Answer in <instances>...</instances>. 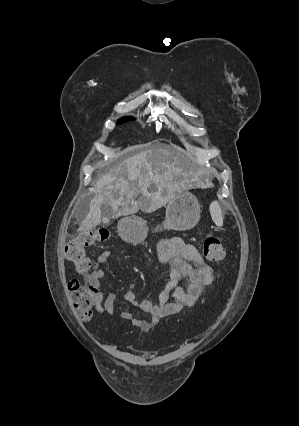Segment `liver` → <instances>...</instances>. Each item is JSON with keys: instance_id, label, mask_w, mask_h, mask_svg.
<instances>
[{"instance_id": "1", "label": "liver", "mask_w": 299, "mask_h": 426, "mask_svg": "<svg viewBox=\"0 0 299 426\" xmlns=\"http://www.w3.org/2000/svg\"><path fill=\"white\" fill-rule=\"evenodd\" d=\"M188 161L184 151L166 144L148 145L125 159L117 169L103 174L96 182L95 197L79 227L89 231L101 223L103 205L120 217L138 212H153L175 196L176 178L185 175ZM140 198L135 200V196Z\"/></svg>"}]
</instances>
